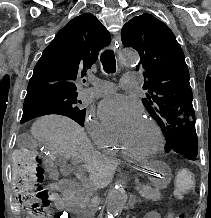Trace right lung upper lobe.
Masks as SVG:
<instances>
[{
    "label": "right lung upper lobe",
    "instance_id": "obj_1",
    "mask_svg": "<svg viewBox=\"0 0 211 218\" xmlns=\"http://www.w3.org/2000/svg\"><path fill=\"white\" fill-rule=\"evenodd\" d=\"M110 43V34L92 14L73 18L43 51L27 87L25 102L77 93L76 79L84 77Z\"/></svg>",
    "mask_w": 211,
    "mask_h": 218
}]
</instances>
